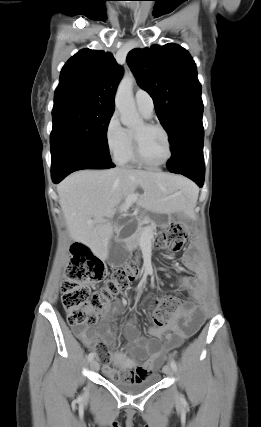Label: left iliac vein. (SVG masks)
<instances>
[{
  "label": "left iliac vein",
  "mask_w": 261,
  "mask_h": 427,
  "mask_svg": "<svg viewBox=\"0 0 261 427\" xmlns=\"http://www.w3.org/2000/svg\"><path fill=\"white\" fill-rule=\"evenodd\" d=\"M163 372L168 375V376H172L173 375V369L171 368V366L169 365H165L163 367Z\"/></svg>",
  "instance_id": "4c4485c4"
}]
</instances>
